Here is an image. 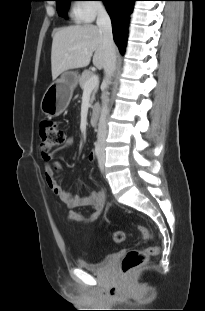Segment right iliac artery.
<instances>
[{"mask_svg": "<svg viewBox=\"0 0 205 311\" xmlns=\"http://www.w3.org/2000/svg\"><path fill=\"white\" fill-rule=\"evenodd\" d=\"M100 150H101L100 144H99V142H96L95 143V153H96V156H99Z\"/></svg>", "mask_w": 205, "mask_h": 311, "instance_id": "1", "label": "right iliac artery"}]
</instances>
